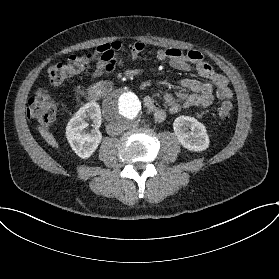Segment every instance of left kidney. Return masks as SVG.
<instances>
[{
  "instance_id": "5707ae66",
  "label": "left kidney",
  "mask_w": 279,
  "mask_h": 279,
  "mask_svg": "<svg viewBox=\"0 0 279 279\" xmlns=\"http://www.w3.org/2000/svg\"><path fill=\"white\" fill-rule=\"evenodd\" d=\"M173 129L184 148L198 152L209 147L210 140L206 127L194 117H177L173 122Z\"/></svg>"
}]
</instances>
